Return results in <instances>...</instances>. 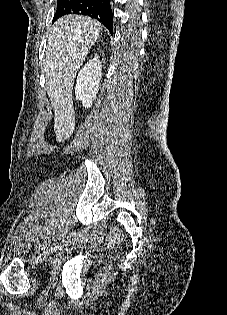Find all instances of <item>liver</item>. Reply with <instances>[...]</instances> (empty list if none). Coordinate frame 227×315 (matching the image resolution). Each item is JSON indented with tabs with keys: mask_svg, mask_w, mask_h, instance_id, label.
<instances>
[{
	"mask_svg": "<svg viewBox=\"0 0 227 315\" xmlns=\"http://www.w3.org/2000/svg\"><path fill=\"white\" fill-rule=\"evenodd\" d=\"M101 24L87 16L66 15L58 19L48 36L44 71L46 90L54 109L58 142L68 139L75 127L72 90L74 80L99 37Z\"/></svg>",
	"mask_w": 227,
	"mask_h": 315,
	"instance_id": "6515ba94",
	"label": "liver"
}]
</instances>
